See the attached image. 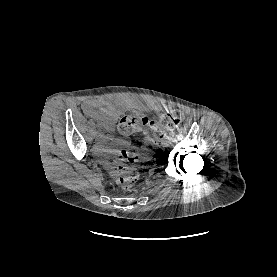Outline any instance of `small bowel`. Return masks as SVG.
<instances>
[{"mask_svg": "<svg viewBox=\"0 0 277 277\" xmlns=\"http://www.w3.org/2000/svg\"><path fill=\"white\" fill-rule=\"evenodd\" d=\"M125 105H133L138 108L152 110L158 114L169 110L164 105H155L153 103L136 104L130 100L122 102L105 98H90L85 100L82 104L83 112L96 121L102 128L98 135V153L104 152V143L108 138L109 132L113 129L117 118L123 112ZM118 141L124 142L122 139H118Z\"/></svg>", "mask_w": 277, "mask_h": 277, "instance_id": "1", "label": "small bowel"}]
</instances>
